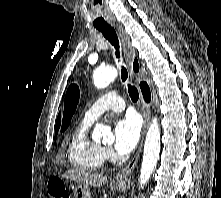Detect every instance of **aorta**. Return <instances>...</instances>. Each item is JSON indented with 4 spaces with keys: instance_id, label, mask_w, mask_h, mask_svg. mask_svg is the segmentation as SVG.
<instances>
[{
    "instance_id": "aorta-1",
    "label": "aorta",
    "mask_w": 221,
    "mask_h": 198,
    "mask_svg": "<svg viewBox=\"0 0 221 198\" xmlns=\"http://www.w3.org/2000/svg\"><path fill=\"white\" fill-rule=\"evenodd\" d=\"M117 69L115 67H106L96 69L93 73V83L95 87L101 89L107 87L117 77ZM113 135L109 128L102 124H96L92 137L95 139H109ZM160 153V128L157 118H153L151 125L147 131L144 153L139 177L140 187H143L151 177Z\"/></svg>"
}]
</instances>
